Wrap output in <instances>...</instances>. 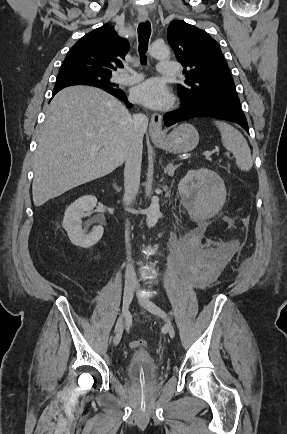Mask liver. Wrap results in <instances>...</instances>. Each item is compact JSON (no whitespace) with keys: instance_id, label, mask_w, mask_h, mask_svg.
I'll return each instance as SVG.
<instances>
[{"instance_id":"liver-1","label":"liver","mask_w":287,"mask_h":434,"mask_svg":"<svg viewBox=\"0 0 287 434\" xmlns=\"http://www.w3.org/2000/svg\"><path fill=\"white\" fill-rule=\"evenodd\" d=\"M134 138L132 116L105 91H59L38 135L32 184L36 207L123 165Z\"/></svg>"}]
</instances>
